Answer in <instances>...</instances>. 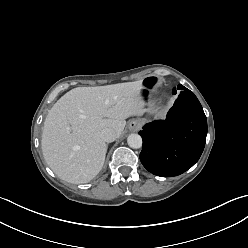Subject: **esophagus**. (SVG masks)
I'll return each mask as SVG.
<instances>
[{
  "instance_id": "1",
  "label": "esophagus",
  "mask_w": 248,
  "mask_h": 248,
  "mask_svg": "<svg viewBox=\"0 0 248 248\" xmlns=\"http://www.w3.org/2000/svg\"><path fill=\"white\" fill-rule=\"evenodd\" d=\"M129 128L132 131H137L140 128V123L137 120H133L129 124Z\"/></svg>"
}]
</instances>
